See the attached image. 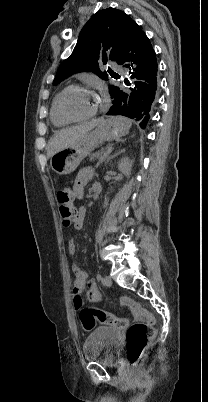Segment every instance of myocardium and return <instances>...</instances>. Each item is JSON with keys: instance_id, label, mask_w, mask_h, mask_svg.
<instances>
[{"instance_id": "myocardium-1", "label": "myocardium", "mask_w": 208, "mask_h": 402, "mask_svg": "<svg viewBox=\"0 0 208 402\" xmlns=\"http://www.w3.org/2000/svg\"><path fill=\"white\" fill-rule=\"evenodd\" d=\"M74 89L88 90V88H87L86 85L73 84V85L67 86L65 89H63V90L59 93V95H58V100H57L58 109H59L60 114H61L66 120H69V121H72V122L86 121V120L92 118V117L98 112V110H99L101 107L104 106L105 102H107V99L105 98V93L102 91V89H100V92H102V97H99L98 104L92 109V111H90V112L87 113V114L79 115V116L71 115V114L68 113V112L65 110V108L63 107L62 99H63V97H64V95H65L66 93H68L69 91L74 90Z\"/></svg>"}]
</instances>
